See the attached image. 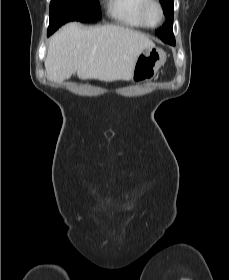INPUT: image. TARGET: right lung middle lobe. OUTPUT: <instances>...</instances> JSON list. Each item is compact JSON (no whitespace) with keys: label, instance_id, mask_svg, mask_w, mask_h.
<instances>
[{"label":"right lung middle lobe","instance_id":"1","mask_svg":"<svg viewBox=\"0 0 229 280\" xmlns=\"http://www.w3.org/2000/svg\"><path fill=\"white\" fill-rule=\"evenodd\" d=\"M48 35L68 21L96 22L101 18L98 0H51Z\"/></svg>","mask_w":229,"mask_h":280}]
</instances>
